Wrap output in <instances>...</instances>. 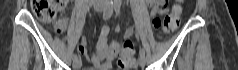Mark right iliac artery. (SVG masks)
Segmentation results:
<instances>
[{
    "label": "right iliac artery",
    "instance_id": "82829eb1",
    "mask_svg": "<svg viewBox=\"0 0 238 70\" xmlns=\"http://www.w3.org/2000/svg\"><path fill=\"white\" fill-rule=\"evenodd\" d=\"M112 13H113V2L109 1L104 9L103 19L104 20L109 19L111 17ZM74 59H78V56L76 54L73 55V60Z\"/></svg>",
    "mask_w": 238,
    "mask_h": 70
}]
</instances>
